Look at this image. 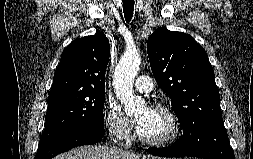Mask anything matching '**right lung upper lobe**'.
Segmentation results:
<instances>
[{
  "instance_id": "1",
  "label": "right lung upper lobe",
  "mask_w": 253,
  "mask_h": 159,
  "mask_svg": "<svg viewBox=\"0 0 253 159\" xmlns=\"http://www.w3.org/2000/svg\"><path fill=\"white\" fill-rule=\"evenodd\" d=\"M109 56V40L103 32L71 42L62 52L48 98L105 91Z\"/></svg>"
}]
</instances>
